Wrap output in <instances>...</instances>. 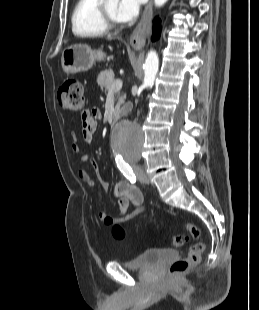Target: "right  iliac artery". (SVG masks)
Masks as SVG:
<instances>
[{
	"label": "right iliac artery",
	"instance_id": "82829eb1",
	"mask_svg": "<svg viewBox=\"0 0 259 310\" xmlns=\"http://www.w3.org/2000/svg\"><path fill=\"white\" fill-rule=\"evenodd\" d=\"M116 163H117V167L123 173V175L128 180H130L131 183H135L136 182V176H135L132 168L127 163H125L123 160H116Z\"/></svg>",
	"mask_w": 259,
	"mask_h": 310
}]
</instances>
